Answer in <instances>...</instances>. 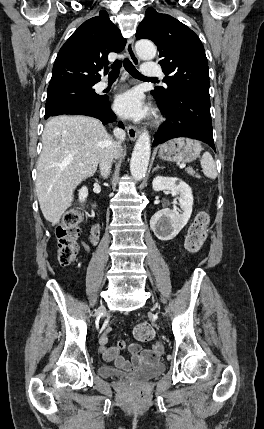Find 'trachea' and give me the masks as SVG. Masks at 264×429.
Listing matches in <instances>:
<instances>
[{"mask_svg": "<svg viewBox=\"0 0 264 429\" xmlns=\"http://www.w3.org/2000/svg\"><path fill=\"white\" fill-rule=\"evenodd\" d=\"M123 64L124 68L128 71V73L137 78V79H143V80H147V79H151V80H156L155 78H148L143 76L136 68L135 66L132 64V62L129 59H124L123 61H116L115 64L113 65V69L109 74L110 78H117L119 76V69L121 67V65Z\"/></svg>", "mask_w": 264, "mask_h": 429, "instance_id": "3493384b", "label": "trachea"}]
</instances>
